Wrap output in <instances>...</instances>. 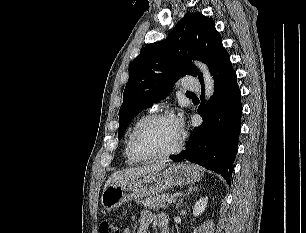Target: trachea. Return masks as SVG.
I'll use <instances>...</instances> for the list:
<instances>
[{
    "label": "trachea",
    "instance_id": "3493384b",
    "mask_svg": "<svg viewBox=\"0 0 306 233\" xmlns=\"http://www.w3.org/2000/svg\"><path fill=\"white\" fill-rule=\"evenodd\" d=\"M188 94H193V93H191V92H187Z\"/></svg>",
    "mask_w": 306,
    "mask_h": 233
}]
</instances>
